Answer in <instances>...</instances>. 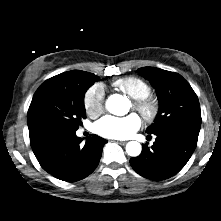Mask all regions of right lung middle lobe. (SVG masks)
I'll return each instance as SVG.
<instances>
[{"mask_svg":"<svg viewBox=\"0 0 221 221\" xmlns=\"http://www.w3.org/2000/svg\"><path fill=\"white\" fill-rule=\"evenodd\" d=\"M100 78L72 70L46 80L35 92L28 110V127L47 135L76 131L86 117L84 95Z\"/></svg>","mask_w":221,"mask_h":221,"instance_id":"1","label":"right lung middle lobe"}]
</instances>
